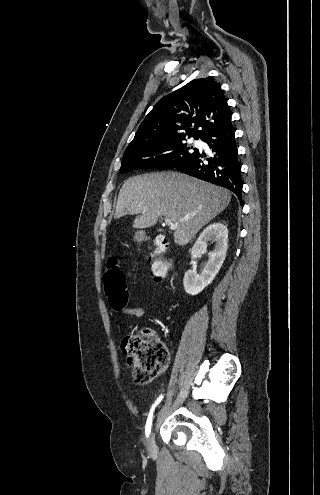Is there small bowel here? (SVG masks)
Returning <instances> with one entry per match:
<instances>
[{
    "label": "small bowel",
    "mask_w": 320,
    "mask_h": 495,
    "mask_svg": "<svg viewBox=\"0 0 320 495\" xmlns=\"http://www.w3.org/2000/svg\"><path fill=\"white\" fill-rule=\"evenodd\" d=\"M123 314L126 316L142 318L145 316L146 312L143 308L140 307H129L123 310Z\"/></svg>",
    "instance_id": "obj_1"
}]
</instances>
